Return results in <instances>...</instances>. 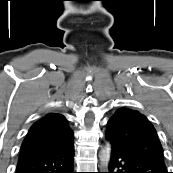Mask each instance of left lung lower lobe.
Returning <instances> with one entry per match:
<instances>
[{"instance_id":"0a47b994","label":"left lung lower lobe","mask_w":173,"mask_h":173,"mask_svg":"<svg viewBox=\"0 0 173 173\" xmlns=\"http://www.w3.org/2000/svg\"><path fill=\"white\" fill-rule=\"evenodd\" d=\"M108 173H168L166 165L142 155L112 149Z\"/></svg>"}]
</instances>
